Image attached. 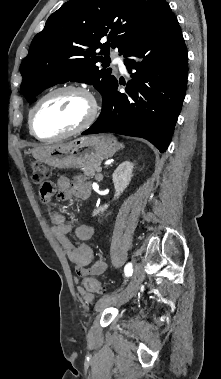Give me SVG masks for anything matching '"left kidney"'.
Wrapping results in <instances>:
<instances>
[{"instance_id": "left-kidney-1", "label": "left kidney", "mask_w": 221, "mask_h": 379, "mask_svg": "<svg viewBox=\"0 0 221 379\" xmlns=\"http://www.w3.org/2000/svg\"><path fill=\"white\" fill-rule=\"evenodd\" d=\"M133 163L130 161H125L121 163L117 169L114 171L112 178L113 183L115 187V198H119V196L123 193V191L127 188L129 185L131 178H132V171H133ZM108 208V204L103 205L97 210H94L93 215H97L100 212H104Z\"/></svg>"}]
</instances>
